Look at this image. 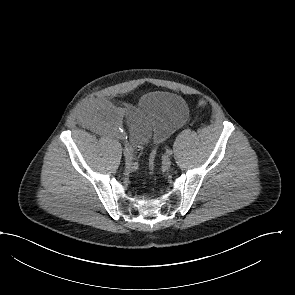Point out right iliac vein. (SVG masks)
Wrapping results in <instances>:
<instances>
[{
  "label": "right iliac vein",
  "mask_w": 295,
  "mask_h": 295,
  "mask_svg": "<svg viewBox=\"0 0 295 295\" xmlns=\"http://www.w3.org/2000/svg\"><path fill=\"white\" fill-rule=\"evenodd\" d=\"M124 157L127 164H131L133 161V156L130 152L124 151Z\"/></svg>",
  "instance_id": "63e3f726"
}]
</instances>
